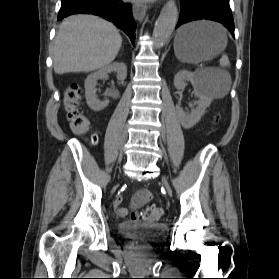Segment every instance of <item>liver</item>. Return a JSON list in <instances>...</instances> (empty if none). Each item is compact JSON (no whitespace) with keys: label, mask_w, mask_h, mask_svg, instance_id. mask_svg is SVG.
I'll return each instance as SVG.
<instances>
[{"label":"liver","mask_w":279,"mask_h":279,"mask_svg":"<svg viewBox=\"0 0 279 279\" xmlns=\"http://www.w3.org/2000/svg\"><path fill=\"white\" fill-rule=\"evenodd\" d=\"M122 38L116 27L93 15H73L59 26L53 48L57 74L90 72L110 64Z\"/></svg>","instance_id":"1"}]
</instances>
